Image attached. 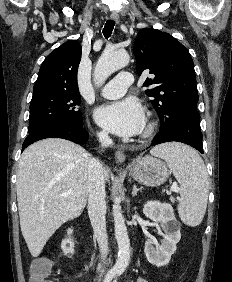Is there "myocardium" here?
Returning a JSON list of instances; mask_svg holds the SVG:
<instances>
[{"mask_svg":"<svg viewBox=\"0 0 232 282\" xmlns=\"http://www.w3.org/2000/svg\"><path fill=\"white\" fill-rule=\"evenodd\" d=\"M157 123L154 120H149L141 133V139L150 138L156 131Z\"/></svg>","mask_w":232,"mask_h":282,"instance_id":"myocardium-1","label":"myocardium"}]
</instances>
